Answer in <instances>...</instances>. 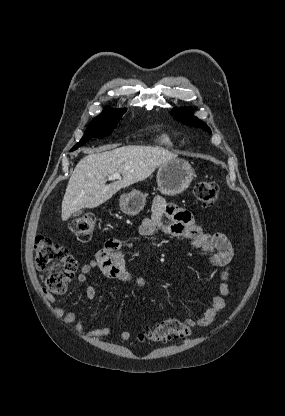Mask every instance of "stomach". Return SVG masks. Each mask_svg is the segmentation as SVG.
Wrapping results in <instances>:
<instances>
[{
	"label": "stomach",
	"mask_w": 285,
	"mask_h": 416,
	"mask_svg": "<svg viewBox=\"0 0 285 416\" xmlns=\"http://www.w3.org/2000/svg\"><path fill=\"white\" fill-rule=\"evenodd\" d=\"M194 176L195 172L191 164L182 158H174V160H168L159 166L156 182L162 194L174 196V194H181L187 190ZM119 202L123 214L137 216L145 206L146 196L142 192L132 190L130 194H122Z\"/></svg>",
	"instance_id": "obj_1"
}]
</instances>
